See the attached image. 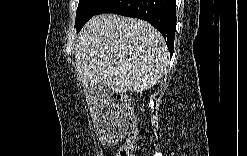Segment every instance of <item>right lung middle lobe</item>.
Masks as SVG:
<instances>
[{
	"instance_id": "1",
	"label": "right lung middle lobe",
	"mask_w": 247,
	"mask_h": 156,
	"mask_svg": "<svg viewBox=\"0 0 247 156\" xmlns=\"http://www.w3.org/2000/svg\"><path fill=\"white\" fill-rule=\"evenodd\" d=\"M107 0H79L75 27L77 32L81 30L84 24L96 15Z\"/></svg>"
}]
</instances>
